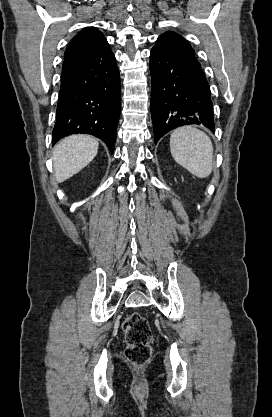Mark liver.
Here are the masks:
<instances>
[{"mask_svg":"<svg viewBox=\"0 0 272 417\" xmlns=\"http://www.w3.org/2000/svg\"><path fill=\"white\" fill-rule=\"evenodd\" d=\"M98 146L87 135H72L57 143L52 157L56 181L64 182L86 167L97 155Z\"/></svg>","mask_w":272,"mask_h":417,"instance_id":"obj_1","label":"liver"}]
</instances>
